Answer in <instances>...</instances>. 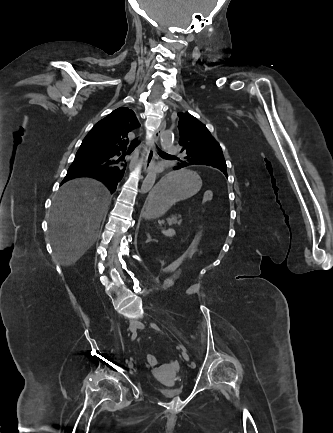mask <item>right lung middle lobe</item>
I'll return each instance as SVG.
<instances>
[{
  "label": "right lung middle lobe",
  "mask_w": 333,
  "mask_h": 433,
  "mask_svg": "<svg viewBox=\"0 0 333 433\" xmlns=\"http://www.w3.org/2000/svg\"><path fill=\"white\" fill-rule=\"evenodd\" d=\"M77 154H93V155H104V153L94 149V148H86L83 146H80Z\"/></svg>",
  "instance_id": "dd1d6c3e"
}]
</instances>
